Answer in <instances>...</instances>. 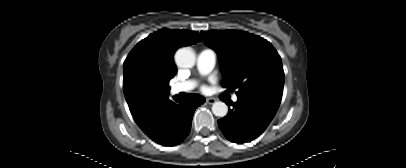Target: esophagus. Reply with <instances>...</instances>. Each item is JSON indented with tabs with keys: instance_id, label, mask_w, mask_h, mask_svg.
Wrapping results in <instances>:
<instances>
[{
	"instance_id": "34e87169",
	"label": "esophagus",
	"mask_w": 406,
	"mask_h": 168,
	"mask_svg": "<svg viewBox=\"0 0 406 168\" xmlns=\"http://www.w3.org/2000/svg\"><path fill=\"white\" fill-rule=\"evenodd\" d=\"M215 99L214 98H206V103H208V104H213V103H215Z\"/></svg>"
}]
</instances>
